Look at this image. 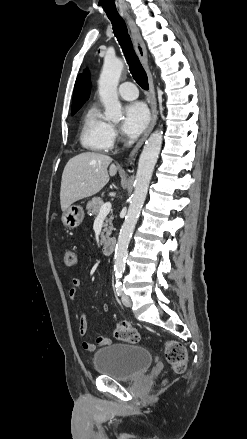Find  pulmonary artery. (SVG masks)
Wrapping results in <instances>:
<instances>
[{
    "label": "pulmonary artery",
    "instance_id": "obj_1",
    "mask_svg": "<svg viewBox=\"0 0 247 439\" xmlns=\"http://www.w3.org/2000/svg\"><path fill=\"white\" fill-rule=\"evenodd\" d=\"M119 95L125 100H134L138 96V91L134 84L125 82L119 86Z\"/></svg>",
    "mask_w": 247,
    "mask_h": 439
}]
</instances>
